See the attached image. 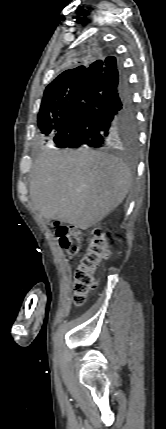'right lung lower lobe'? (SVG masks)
<instances>
[{"mask_svg":"<svg viewBox=\"0 0 166 429\" xmlns=\"http://www.w3.org/2000/svg\"><path fill=\"white\" fill-rule=\"evenodd\" d=\"M135 123L126 70L114 56H108L87 67L54 141L61 148L100 147L118 129Z\"/></svg>","mask_w":166,"mask_h":429,"instance_id":"right-lung-lower-lobe-1","label":"right lung lower lobe"}]
</instances>
